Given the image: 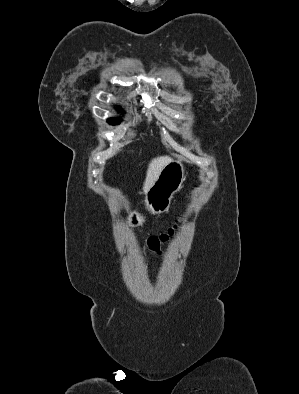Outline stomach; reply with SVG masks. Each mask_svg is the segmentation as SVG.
Instances as JSON below:
<instances>
[{
  "label": "stomach",
  "instance_id": "stomach-1",
  "mask_svg": "<svg viewBox=\"0 0 299 394\" xmlns=\"http://www.w3.org/2000/svg\"><path fill=\"white\" fill-rule=\"evenodd\" d=\"M185 180L184 164L181 160H170L161 169L157 179L146 192L145 207L153 214L167 212L171 200ZM145 222L139 211H132L127 217L129 227H137Z\"/></svg>",
  "mask_w": 299,
  "mask_h": 394
}]
</instances>
